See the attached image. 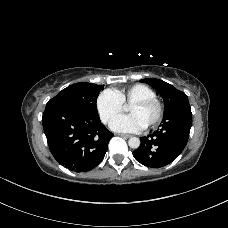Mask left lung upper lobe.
Returning a JSON list of instances; mask_svg holds the SVG:
<instances>
[{"label":"left lung upper lobe","mask_w":228,"mask_h":228,"mask_svg":"<svg viewBox=\"0 0 228 228\" xmlns=\"http://www.w3.org/2000/svg\"><path fill=\"white\" fill-rule=\"evenodd\" d=\"M141 82H146L156 89L164 100V116L173 114L174 119L179 120L181 117V106L189 104L187 95L177 90L171 84L155 78L142 79Z\"/></svg>","instance_id":"5c2ea615"}]
</instances>
